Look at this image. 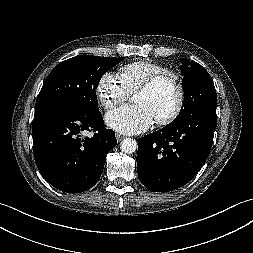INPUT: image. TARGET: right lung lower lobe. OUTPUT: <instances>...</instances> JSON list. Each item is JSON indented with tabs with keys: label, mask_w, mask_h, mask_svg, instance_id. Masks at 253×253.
Returning <instances> with one entry per match:
<instances>
[{
	"label": "right lung lower lobe",
	"mask_w": 253,
	"mask_h": 253,
	"mask_svg": "<svg viewBox=\"0 0 253 253\" xmlns=\"http://www.w3.org/2000/svg\"><path fill=\"white\" fill-rule=\"evenodd\" d=\"M93 137H81L84 132ZM33 148L43 178L69 193L83 192L99 180L106 155L116 146L115 133L105 129L100 111L81 113L63 106L35 110Z\"/></svg>",
	"instance_id": "98d812e1"
}]
</instances>
